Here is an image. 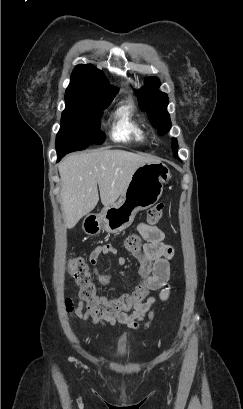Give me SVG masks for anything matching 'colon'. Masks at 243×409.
I'll list each match as a JSON object with an SVG mask.
<instances>
[{"mask_svg":"<svg viewBox=\"0 0 243 409\" xmlns=\"http://www.w3.org/2000/svg\"><path fill=\"white\" fill-rule=\"evenodd\" d=\"M163 209L162 203L152 206L147 212L146 225H156L162 218ZM141 245V238L136 233L130 234L125 241V248L134 256L141 255ZM67 268L70 276L75 279L80 287L81 297L88 302L91 309L115 315L128 310L131 305L142 303L147 296V291L141 287H138L131 294L117 299L98 296L96 295L95 285L91 281L89 266L83 259H70ZM67 309L69 312L73 311L71 300L67 301Z\"/></svg>","mask_w":243,"mask_h":409,"instance_id":"5ec220e1","label":"colon"}]
</instances>
